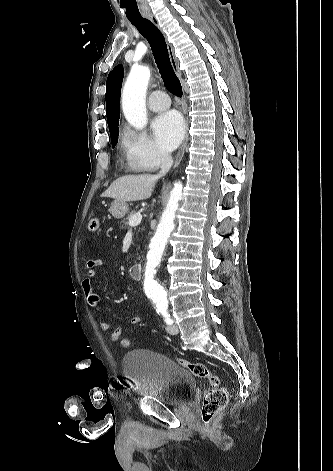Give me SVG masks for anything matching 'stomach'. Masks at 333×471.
Listing matches in <instances>:
<instances>
[{
    "instance_id": "0dacf381",
    "label": "stomach",
    "mask_w": 333,
    "mask_h": 471,
    "mask_svg": "<svg viewBox=\"0 0 333 471\" xmlns=\"http://www.w3.org/2000/svg\"><path fill=\"white\" fill-rule=\"evenodd\" d=\"M128 209L129 205L127 202L114 200L111 203L109 212L114 218L120 219L125 216V214L128 212Z\"/></svg>"
}]
</instances>
